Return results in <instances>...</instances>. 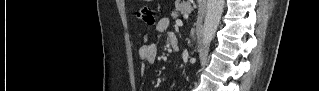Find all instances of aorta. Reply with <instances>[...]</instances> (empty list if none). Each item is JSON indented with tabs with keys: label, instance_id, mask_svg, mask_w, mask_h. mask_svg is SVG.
I'll return each mask as SVG.
<instances>
[{
	"label": "aorta",
	"instance_id": "1",
	"mask_svg": "<svg viewBox=\"0 0 319 91\" xmlns=\"http://www.w3.org/2000/svg\"><path fill=\"white\" fill-rule=\"evenodd\" d=\"M225 0H207L206 15L203 25L202 46L213 39L223 13Z\"/></svg>",
	"mask_w": 319,
	"mask_h": 91
}]
</instances>
